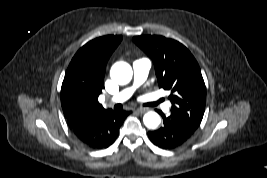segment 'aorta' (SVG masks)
I'll return each mask as SVG.
<instances>
[{
    "label": "aorta",
    "instance_id": "1",
    "mask_svg": "<svg viewBox=\"0 0 267 178\" xmlns=\"http://www.w3.org/2000/svg\"><path fill=\"white\" fill-rule=\"evenodd\" d=\"M132 75L131 66L124 61L116 62L110 70L112 80L120 85L129 83L132 79ZM143 122L147 128L156 129L161 122V118L156 112L149 111L143 116Z\"/></svg>",
    "mask_w": 267,
    "mask_h": 178
}]
</instances>
